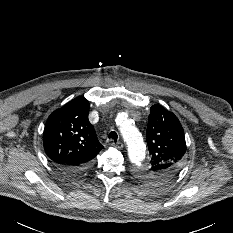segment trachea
Segmentation results:
<instances>
[{
    "mask_svg": "<svg viewBox=\"0 0 233 233\" xmlns=\"http://www.w3.org/2000/svg\"><path fill=\"white\" fill-rule=\"evenodd\" d=\"M110 139L114 140L115 142L117 141V133L115 131L110 132L109 136Z\"/></svg>",
    "mask_w": 233,
    "mask_h": 233,
    "instance_id": "trachea-1",
    "label": "trachea"
}]
</instances>
